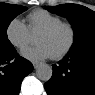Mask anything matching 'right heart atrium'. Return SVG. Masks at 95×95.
Segmentation results:
<instances>
[{
	"label": "right heart atrium",
	"mask_w": 95,
	"mask_h": 95,
	"mask_svg": "<svg viewBox=\"0 0 95 95\" xmlns=\"http://www.w3.org/2000/svg\"><path fill=\"white\" fill-rule=\"evenodd\" d=\"M6 37L16 48L23 49L31 41V33L27 25L19 18H13L6 26Z\"/></svg>",
	"instance_id": "right-heart-atrium-1"
}]
</instances>
